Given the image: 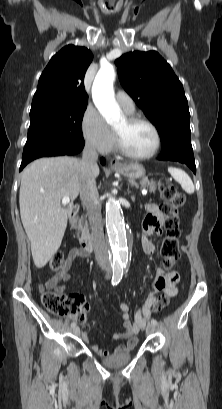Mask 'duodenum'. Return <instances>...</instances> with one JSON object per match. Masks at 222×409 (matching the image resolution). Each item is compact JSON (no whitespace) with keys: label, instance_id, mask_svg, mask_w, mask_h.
<instances>
[{"label":"duodenum","instance_id":"obj_1","mask_svg":"<svg viewBox=\"0 0 222 409\" xmlns=\"http://www.w3.org/2000/svg\"><path fill=\"white\" fill-rule=\"evenodd\" d=\"M80 211L79 205L71 207L69 212V226L72 230H76L78 227V213ZM80 245L85 254H89L93 249V238L90 235L83 234L80 236Z\"/></svg>","mask_w":222,"mask_h":409}]
</instances>
